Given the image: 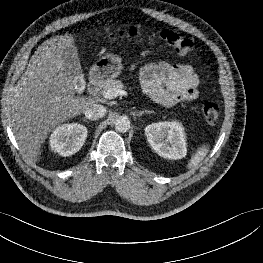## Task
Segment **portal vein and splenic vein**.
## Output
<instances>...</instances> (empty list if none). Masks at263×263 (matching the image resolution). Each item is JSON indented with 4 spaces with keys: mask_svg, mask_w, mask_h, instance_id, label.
<instances>
[{
    "mask_svg": "<svg viewBox=\"0 0 263 263\" xmlns=\"http://www.w3.org/2000/svg\"><path fill=\"white\" fill-rule=\"evenodd\" d=\"M119 95L126 96L127 92L125 90L118 89V88H109L103 92V96L106 99H113Z\"/></svg>",
    "mask_w": 263,
    "mask_h": 263,
    "instance_id": "18ae733b",
    "label": "portal vein and splenic vein"
}]
</instances>
